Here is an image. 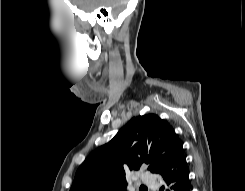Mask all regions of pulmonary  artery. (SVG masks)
<instances>
[{"mask_svg":"<svg viewBox=\"0 0 245 191\" xmlns=\"http://www.w3.org/2000/svg\"><path fill=\"white\" fill-rule=\"evenodd\" d=\"M140 182L154 190L158 189V183L155 177L149 173H142L140 175Z\"/></svg>","mask_w":245,"mask_h":191,"instance_id":"e3ab8cb5","label":"pulmonary artery"}]
</instances>
